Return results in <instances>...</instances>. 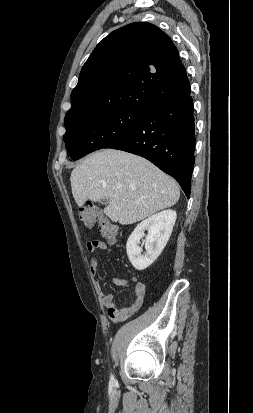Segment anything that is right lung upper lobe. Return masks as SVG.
<instances>
[{"label": "right lung upper lobe", "instance_id": "1", "mask_svg": "<svg viewBox=\"0 0 253 413\" xmlns=\"http://www.w3.org/2000/svg\"><path fill=\"white\" fill-rule=\"evenodd\" d=\"M189 86L170 37L153 24L131 23L110 33L91 53L64 122L115 109L145 111Z\"/></svg>", "mask_w": 253, "mask_h": 413}]
</instances>
